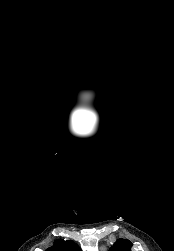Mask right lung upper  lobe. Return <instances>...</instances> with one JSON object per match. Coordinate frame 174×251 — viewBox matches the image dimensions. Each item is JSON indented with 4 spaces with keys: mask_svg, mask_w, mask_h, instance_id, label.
<instances>
[{
    "mask_svg": "<svg viewBox=\"0 0 174 251\" xmlns=\"http://www.w3.org/2000/svg\"><path fill=\"white\" fill-rule=\"evenodd\" d=\"M46 251H81V249L72 241L58 239L54 242V245L48 248Z\"/></svg>",
    "mask_w": 174,
    "mask_h": 251,
    "instance_id": "right-lung-upper-lobe-1",
    "label": "right lung upper lobe"
}]
</instances>
